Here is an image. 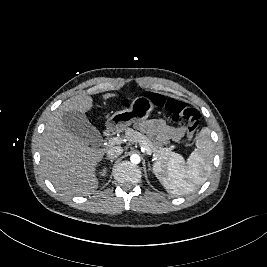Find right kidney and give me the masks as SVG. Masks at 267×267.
Instances as JSON below:
<instances>
[{
  "instance_id": "right-kidney-1",
  "label": "right kidney",
  "mask_w": 267,
  "mask_h": 267,
  "mask_svg": "<svg viewBox=\"0 0 267 267\" xmlns=\"http://www.w3.org/2000/svg\"><path fill=\"white\" fill-rule=\"evenodd\" d=\"M101 176H106L107 172L106 169H103L102 172H100Z\"/></svg>"
}]
</instances>
